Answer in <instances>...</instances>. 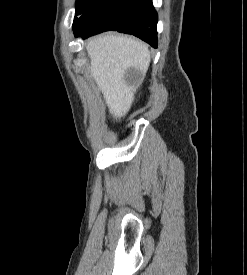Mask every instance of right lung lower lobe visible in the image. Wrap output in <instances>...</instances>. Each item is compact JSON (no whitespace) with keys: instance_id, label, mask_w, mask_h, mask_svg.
<instances>
[{"instance_id":"obj_1","label":"right lung lower lobe","mask_w":247,"mask_h":275,"mask_svg":"<svg viewBox=\"0 0 247 275\" xmlns=\"http://www.w3.org/2000/svg\"><path fill=\"white\" fill-rule=\"evenodd\" d=\"M157 20L152 0H105L82 14L73 29L75 36L82 38L117 30L157 47Z\"/></svg>"}]
</instances>
